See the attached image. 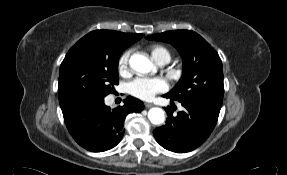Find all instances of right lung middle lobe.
Listing matches in <instances>:
<instances>
[{
	"mask_svg": "<svg viewBox=\"0 0 287 175\" xmlns=\"http://www.w3.org/2000/svg\"><path fill=\"white\" fill-rule=\"evenodd\" d=\"M126 46L103 45L85 35L66 54L60 66V106L103 99L118 84V60Z\"/></svg>",
	"mask_w": 287,
	"mask_h": 175,
	"instance_id": "obj_1",
	"label": "right lung middle lobe"
}]
</instances>
